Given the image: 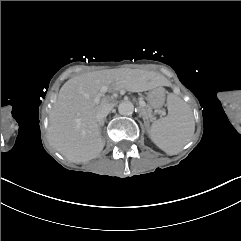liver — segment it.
Listing matches in <instances>:
<instances>
[{
    "instance_id": "1",
    "label": "liver",
    "mask_w": 241,
    "mask_h": 241,
    "mask_svg": "<svg viewBox=\"0 0 241 241\" xmlns=\"http://www.w3.org/2000/svg\"><path fill=\"white\" fill-rule=\"evenodd\" d=\"M154 81L153 73L131 69L94 71L69 79L50 112L49 144L74 163L95 159L104 148L96 115L113 108L106 97L100 101L103 93L143 92L156 87Z\"/></svg>"
}]
</instances>
